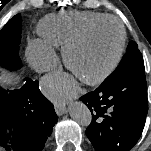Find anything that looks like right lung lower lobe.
Returning <instances> with one entry per match:
<instances>
[{
  "label": "right lung lower lobe",
  "mask_w": 151,
  "mask_h": 151,
  "mask_svg": "<svg viewBox=\"0 0 151 151\" xmlns=\"http://www.w3.org/2000/svg\"><path fill=\"white\" fill-rule=\"evenodd\" d=\"M19 90L0 88V147L5 151H42L58 120L53 104L39 90L38 81L25 78Z\"/></svg>",
  "instance_id": "right-lung-lower-lobe-1"
}]
</instances>
